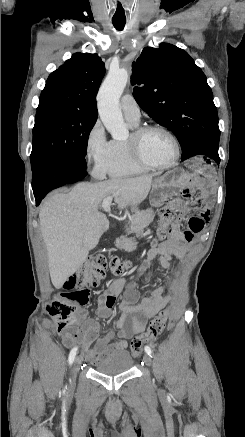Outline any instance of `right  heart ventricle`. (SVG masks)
<instances>
[{
    "instance_id": "right-heart-ventricle-1",
    "label": "right heart ventricle",
    "mask_w": 245,
    "mask_h": 437,
    "mask_svg": "<svg viewBox=\"0 0 245 437\" xmlns=\"http://www.w3.org/2000/svg\"><path fill=\"white\" fill-rule=\"evenodd\" d=\"M133 125H137L133 123ZM150 169L136 163L130 156L126 141L113 140L111 156L106 167V174L111 178H125L137 176Z\"/></svg>"
}]
</instances>
